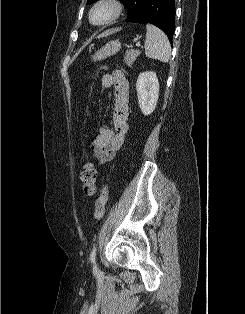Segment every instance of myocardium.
Listing matches in <instances>:
<instances>
[{
  "mask_svg": "<svg viewBox=\"0 0 245 314\" xmlns=\"http://www.w3.org/2000/svg\"><path fill=\"white\" fill-rule=\"evenodd\" d=\"M99 6H108L111 9V15L110 17L101 23H96L93 21V13L94 11L99 7ZM123 4L121 0H97L93 6L91 7L89 11V20L93 25L96 26H105L113 23L116 21L122 14L123 12Z\"/></svg>",
  "mask_w": 245,
  "mask_h": 314,
  "instance_id": "1",
  "label": "myocardium"
}]
</instances>
